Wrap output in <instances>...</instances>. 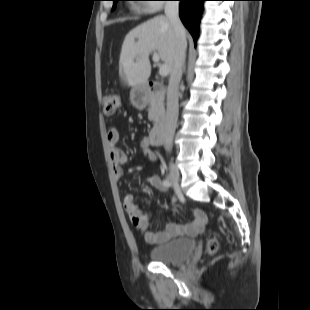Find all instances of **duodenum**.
<instances>
[{
  "mask_svg": "<svg viewBox=\"0 0 310 310\" xmlns=\"http://www.w3.org/2000/svg\"><path fill=\"white\" fill-rule=\"evenodd\" d=\"M145 94L148 100L151 98H163L166 94V88L160 82L149 80L145 85ZM166 126L167 119L164 115H161L150 132V141L153 145L158 146L162 144Z\"/></svg>",
  "mask_w": 310,
  "mask_h": 310,
  "instance_id": "duodenum-1",
  "label": "duodenum"
}]
</instances>
